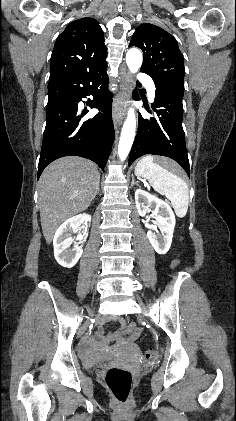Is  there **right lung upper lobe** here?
<instances>
[{"label": "right lung upper lobe", "instance_id": "1", "mask_svg": "<svg viewBox=\"0 0 236 421\" xmlns=\"http://www.w3.org/2000/svg\"><path fill=\"white\" fill-rule=\"evenodd\" d=\"M103 30L93 18L70 23L52 51L49 83L107 65Z\"/></svg>", "mask_w": 236, "mask_h": 421}]
</instances>
